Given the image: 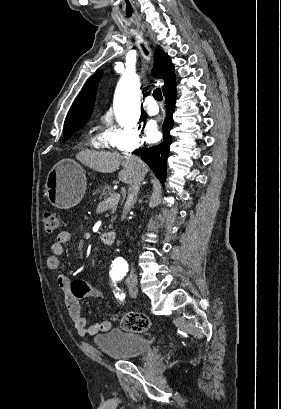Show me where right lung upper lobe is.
<instances>
[{"mask_svg":"<svg viewBox=\"0 0 281 409\" xmlns=\"http://www.w3.org/2000/svg\"><path fill=\"white\" fill-rule=\"evenodd\" d=\"M153 75L165 81L162 86L164 96L175 87L174 66L169 56L162 50L155 52ZM102 72L95 73L84 85L76 101L72 105L65 120L64 127L84 125L93 110L96 90Z\"/></svg>","mask_w":281,"mask_h":409,"instance_id":"right-lung-upper-lobe-1","label":"right lung upper lobe"}]
</instances>
